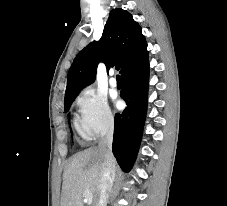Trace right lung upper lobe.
<instances>
[{"mask_svg": "<svg viewBox=\"0 0 227 206\" xmlns=\"http://www.w3.org/2000/svg\"><path fill=\"white\" fill-rule=\"evenodd\" d=\"M147 57V43L139 24L126 10L113 9L101 39L87 45L74 59L68 72L65 98L78 95L83 87L93 83L99 62H104L107 69L120 64L123 75Z\"/></svg>", "mask_w": 227, "mask_h": 206, "instance_id": "obj_1", "label": "right lung upper lobe"}]
</instances>
